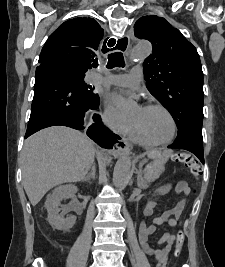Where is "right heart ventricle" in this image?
Instances as JSON below:
<instances>
[{
    "label": "right heart ventricle",
    "mask_w": 225,
    "mask_h": 267,
    "mask_svg": "<svg viewBox=\"0 0 225 267\" xmlns=\"http://www.w3.org/2000/svg\"><path fill=\"white\" fill-rule=\"evenodd\" d=\"M126 135L128 136V138L135 142L138 143L140 145H144V146H151L149 145L147 142H145L141 136L137 133V131L134 129V127H132L127 133Z\"/></svg>",
    "instance_id": "obj_1"
}]
</instances>
